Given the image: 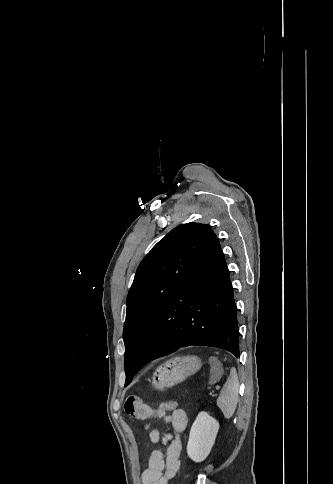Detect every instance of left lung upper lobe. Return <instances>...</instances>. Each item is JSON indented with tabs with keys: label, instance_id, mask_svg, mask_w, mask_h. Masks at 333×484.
<instances>
[{
	"label": "left lung upper lobe",
	"instance_id": "left-lung-upper-lobe-1",
	"mask_svg": "<svg viewBox=\"0 0 333 484\" xmlns=\"http://www.w3.org/2000/svg\"><path fill=\"white\" fill-rule=\"evenodd\" d=\"M199 223L179 225L160 240L140 263L127 297L123 328L126 384L142 367L138 354L161 305L192 254L210 231Z\"/></svg>",
	"mask_w": 333,
	"mask_h": 484
}]
</instances>
